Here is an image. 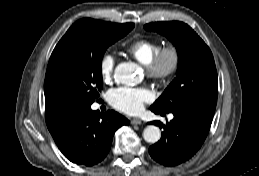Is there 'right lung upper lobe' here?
Instances as JSON below:
<instances>
[{"label": "right lung upper lobe", "mask_w": 259, "mask_h": 176, "mask_svg": "<svg viewBox=\"0 0 259 176\" xmlns=\"http://www.w3.org/2000/svg\"><path fill=\"white\" fill-rule=\"evenodd\" d=\"M96 21L103 22L99 20H96ZM44 93H45L46 113H50L60 105L67 103L64 90L59 80L57 79V77L52 72L49 66L47 67L46 76H45Z\"/></svg>", "instance_id": "cb5924a9"}]
</instances>
